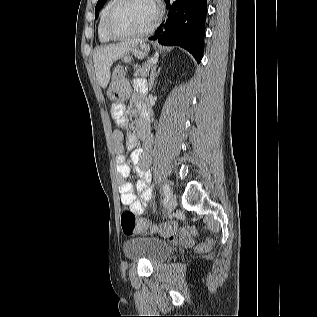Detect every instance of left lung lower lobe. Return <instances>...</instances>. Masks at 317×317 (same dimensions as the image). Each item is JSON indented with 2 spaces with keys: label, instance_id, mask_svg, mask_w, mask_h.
I'll list each match as a JSON object with an SVG mask.
<instances>
[{
  "label": "left lung lower lobe",
  "instance_id": "1",
  "mask_svg": "<svg viewBox=\"0 0 317 317\" xmlns=\"http://www.w3.org/2000/svg\"><path fill=\"white\" fill-rule=\"evenodd\" d=\"M165 2L166 8L169 9L168 18L149 39L158 40L163 45L180 46L200 62L204 48L207 0H177L173 3L165 0Z\"/></svg>",
  "mask_w": 317,
  "mask_h": 317
}]
</instances>
